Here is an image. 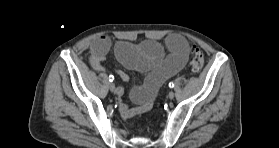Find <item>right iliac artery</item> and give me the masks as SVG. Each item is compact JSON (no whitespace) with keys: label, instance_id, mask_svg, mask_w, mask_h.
<instances>
[{"label":"right iliac artery","instance_id":"1","mask_svg":"<svg viewBox=\"0 0 279 148\" xmlns=\"http://www.w3.org/2000/svg\"><path fill=\"white\" fill-rule=\"evenodd\" d=\"M113 80H114V76H113V75H110V76H109V81H110V82H113ZM119 90H121V89H119ZM121 91H122V90H121Z\"/></svg>","mask_w":279,"mask_h":148}]
</instances>
